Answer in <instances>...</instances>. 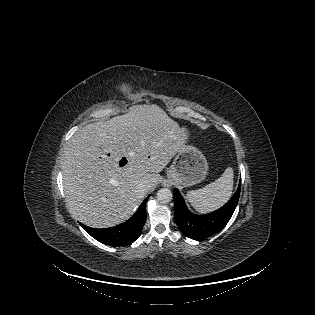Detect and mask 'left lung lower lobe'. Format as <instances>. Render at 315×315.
Here are the masks:
<instances>
[{
	"label": "left lung lower lobe",
	"mask_w": 315,
	"mask_h": 315,
	"mask_svg": "<svg viewBox=\"0 0 315 315\" xmlns=\"http://www.w3.org/2000/svg\"><path fill=\"white\" fill-rule=\"evenodd\" d=\"M241 189V180L233 197L220 209L205 215L191 213L178 189H174L175 221L180 230L193 240H203L220 230L230 220L237 206Z\"/></svg>",
	"instance_id": "left-lung-lower-lobe-1"
}]
</instances>
